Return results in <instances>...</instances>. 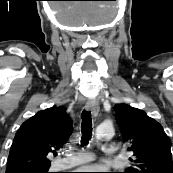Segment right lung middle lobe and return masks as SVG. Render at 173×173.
Masks as SVG:
<instances>
[{
  "label": "right lung middle lobe",
  "instance_id": "dd1d6c3e",
  "mask_svg": "<svg viewBox=\"0 0 173 173\" xmlns=\"http://www.w3.org/2000/svg\"><path fill=\"white\" fill-rule=\"evenodd\" d=\"M48 169H49V168L41 169V170H37V171H32V172H33V173H49V172H48Z\"/></svg>",
  "mask_w": 173,
  "mask_h": 173
}]
</instances>
